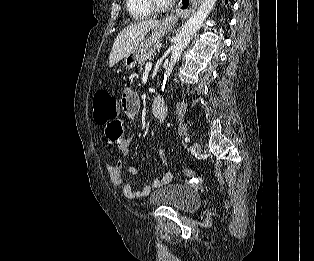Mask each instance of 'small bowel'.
Segmentation results:
<instances>
[{"instance_id":"c3829d8e","label":"small bowel","mask_w":314,"mask_h":261,"mask_svg":"<svg viewBox=\"0 0 314 261\" xmlns=\"http://www.w3.org/2000/svg\"><path fill=\"white\" fill-rule=\"evenodd\" d=\"M139 106L140 101L136 90L131 86L125 87L120 101L122 111L127 116L133 117L138 112ZM124 124V120H105L102 138L106 140V145H109L110 149L118 148L124 156H127L133 137L125 139ZM158 153L161 163L166 164L164 151L160 149ZM107 170L112 183L119 187L122 194L128 199L147 196L152 188H159L169 183L173 177L170 171H166L161 177L154 179L151 185L146 184L141 190H135L131 183L125 180L124 163L121 160H118L115 164L108 165ZM127 172L132 176H137L141 171L138 167L130 166L127 168Z\"/></svg>"}]
</instances>
